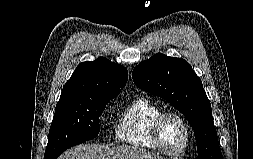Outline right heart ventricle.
<instances>
[{"mask_svg": "<svg viewBox=\"0 0 253 159\" xmlns=\"http://www.w3.org/2000/svg\"><path fill=\"white\" fill-rule=\"evenodd\" d=\"M162 108L153 101L138 97L121 112L115 125V137L120 144L141 150H157L150 137V127Z\"/></svg>", "mask_w": 253, "mask_h": 159, "instance_id": "1", "label": "right heart ventricle"}]
</instances>
